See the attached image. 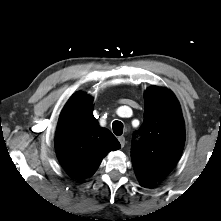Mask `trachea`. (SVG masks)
<instances>
[{"mask_svg":"<svg viewBox=\"0 0 221 221\" xmlns=\"http://www.w3.org/2000/svg\"><path fill=\"white\" fill-rule=\"evenodd\" d=\"M113 132L115 135L120 136L123 133V124L120 121H114L112 124Z\"/></svg>","mask_w":221,"mask_h":221,"instance_id":"obj_1","label":"trachea"}]
</instances>
